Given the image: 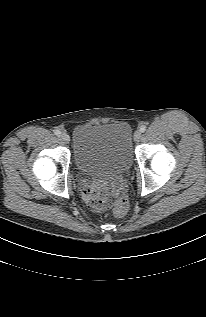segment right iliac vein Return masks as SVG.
<instances>
[{"label": "right iliac vein", "instance_id": "1", "mask_svg": "<svg viewBox=\"0 0 206 317\" xmlns=\"http://www.w3.org/2000/svg\"><path fill=\"white\" fill-rule=\"evenodd\" d=\"M61 139L65 142V143H69L70 142V137L67 133H62L61 134Z\"/></svg>", "mask_w": 206, "mask_h": 317}]
</instances>
